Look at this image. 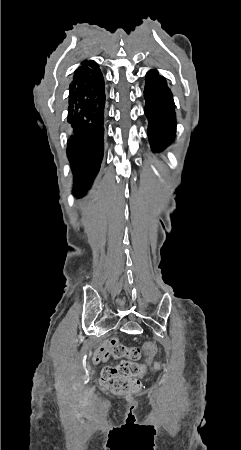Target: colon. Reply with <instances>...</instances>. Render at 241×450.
<instances>
[{
  "mask_svg": "<svg viewBox=\"0 0 241 450\" xmlns=\"http://www.w3.org/2000/svg\"><path fill=\"white\" fill-rule=\"evenodd\" d=\"M143 349L145 354V362L141 364L131 363L128 360L123 361L121 364H117L115 368L111 370L104 368L99 381V386L102 389L109 390L112 393H129L137 391L141 388V383L133 379V374L144 375L146 369L152 367L153 355L156 354L158 358L165 355L163 350H160L153 341H145L143 343ZM110 354L116 358L127 357L129 359H139L142 356V351L138 348H127L122 345H117L110 350Z\"/></svg>",
  "mask_w": 241,
  "mask_h": 450,
  "instance_id": "1",
  "label": "colon"
}]
</instances>
